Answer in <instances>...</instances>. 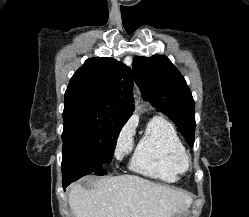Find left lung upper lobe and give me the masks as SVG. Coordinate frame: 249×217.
Masks as SVG:
<instances>
[{"label": "left lung upper lobe", "instance_id": "left-lung-upper-lobe-1", "mask_svg": "<svg viewBox=\"0 0 249 217\" xmlns=\"http://www.w3.org/2000/svg\"><path fill=\"white\" fill-rule=\"evenodd\" d=\"M134 76L143 96L160 112L173 120L189 146L194 143V100L184 77L163 55L136 56Z\"/></svg>", "mask_w": 249, "mask_h": 217}]
</instances>
